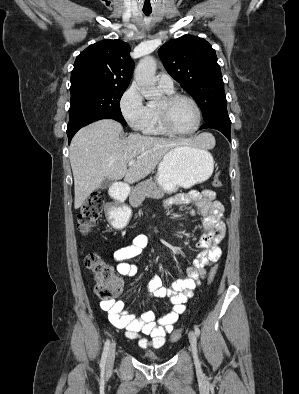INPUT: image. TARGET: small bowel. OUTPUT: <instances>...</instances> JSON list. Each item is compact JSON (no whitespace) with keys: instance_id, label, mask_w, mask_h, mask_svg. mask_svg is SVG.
Instances as JSON below:
<instances>
[{"instance_id":"c3829d8e","label":"small bowel","mask_w":299,"mask_h":394,"mask_svg":"<svg viewBox=\"0 0 299 394\" xmlns=\"http://www.w3.org/2000/svg\"><path fill=\"white\" fill-rule=\"evenodd\" d=\"M194 204L190 211L191 215L201 217L202 234L196 243L201 250L187 268V275L165 285L160 276L155 275L148 284L149 291L156 298H166L171 304V310L165 315L157 318L155 313L148 311L136 317L127 312L121 300L103 301L100 304L110 323L119 329L126 330V336L130 339H139L142 348L149 346L153 348L162 347L170 334L179 316L185 311V303L192 296V291L199 280L206 275V267L214 265L221 257L220 242L226 233L224 223L225 208L216 199L215 192L211 190L190 191L169 198L165 205L186 206ZM149 239L146 235H136L130 244L116 249L113 253L115 261L118 262L116 270L121 276H134L137 269L128 260L138 257L148 246ZM141 335L150 336L151 340L141 338Z\"/></svg>"}]
</instances>
